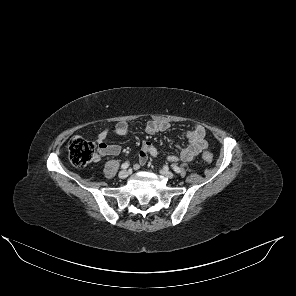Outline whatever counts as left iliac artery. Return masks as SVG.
<instances>
[{
	"label": "left iliac artery",
	"instance_id": "obj_1",
	"mask_svg": "<svg viewBox=\"0 0 296 296\" xmlns=\"http://www.w3.org/2000/svg\"><path fill=\"white\" fill-rule=\"evenodd\" d=\"M172 166V169L176 172V173H181V169L176 166V165H171Z\"/></svg>",
	"mask_w": 296,
	"mask_h": 296
}]
</instances>
